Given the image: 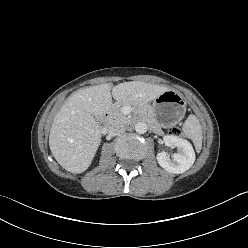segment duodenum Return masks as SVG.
Segmentation results:
<instances>
[{"mask_svg": "<svg viewBox=\"0 0 248 248\" xmlns=\"http://www.w3.org/2000/svg\"><path fill=\"white\" fill-rule=\"evenodd\" d=\"M109 118H110V115H109L108 112H106V113L102 116V118H101V120H100V124H101L102 126H105V125L108 123Z\"/></svg>", "mask_w": 248, "mask_h": 248, "instance_id": "duodenum-1", "label": "duodenum"}]
</instances>
